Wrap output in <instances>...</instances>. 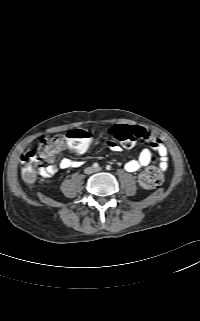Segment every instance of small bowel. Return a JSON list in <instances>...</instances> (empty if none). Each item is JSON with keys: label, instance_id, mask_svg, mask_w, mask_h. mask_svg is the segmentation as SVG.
I'll return each instance as SVG.
<instances>
[{"label": "small bowel", "instance_id": "obj_1", "mask_svg": "<svg viewBox=\"0 0 200 321\" xmlns=\"http://www.w3.org/2000/svg\"><path fill=\"white\" fill-rule=\"evenodd\" d=\"M135 128H137L140 131L141 133L140 138H143L150 144V148L143 149L140 152L138 158L128 161L125 164V169L128 172H136L142 167L149 165L150 162L152 161L153 151L156 152L160 157V163H159L160 167L162 169H166L168 166V152L165 145L160 140H158L157 137L152 132L140 126H137ZM108 147L115 152H118L121 150V147L114 141H109ZM64 148L65 146H62L53 157L47 160L48 162L47 166L40 169L39 173L42 177L48 178L55 175L59 169H69L76 166V162L72 161L69 158L61 159L58 165L54 163L56 155L60 151H62Z\"/></svg>", "mask_w": 200, "mask_h": 321}]
</instances>
